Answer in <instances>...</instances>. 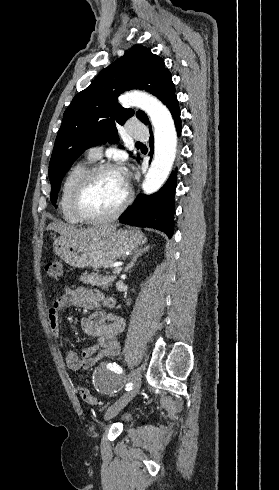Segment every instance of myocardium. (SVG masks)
<instances>
[{"label":"myocardium","instance_id":"1","mask_svg":"<svg viewBox=\"0 0 279 490\" xmlns=\"http://www.w3.org/2000/svg\"><path fill=\"white\" fill-rule=\"evenodd\" d=\"M105 171H117L121 172L122 169L111 163H101L95 166L90 167L80 178L79 183L77 185L75 194H74V209L77 215L86 222H106L111 221L113 219L118 218L123 212L128 208L132 199L133 193L127 187L126 197L123 202L118 206L117 209L112 211L111 213L104 215H97L91 213L86 205V200L88 193L91 189V186L95 180V178L102 172Z\"/></svg>","mask_w":279,"mask_h":490}]
</instances>
